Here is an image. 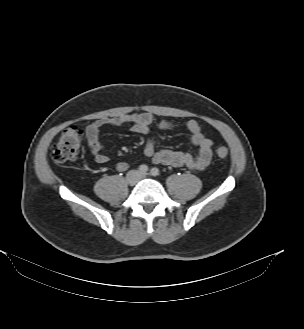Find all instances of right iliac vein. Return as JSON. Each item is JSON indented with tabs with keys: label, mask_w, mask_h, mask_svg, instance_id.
I'll return each mask as SVG.
<instances>
[{
	"label": "right iliac vein",
	"mask_w": 304,
	"mask_h": 329,
	"mask_svg": "<svg viewBox=\"0 0 304 329\" xmlns=\"http://www.w3.org/2000/svg\"><path fill=\"white\" fill-rule=\"evenodd\" d=\"M126 180L129 185L133 186L137 182V173L135 171L129 172Z\"/></svg>",
	"instance_id": "63e3f726"
}]
</instances>
